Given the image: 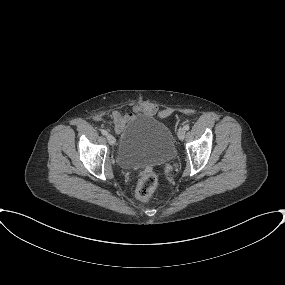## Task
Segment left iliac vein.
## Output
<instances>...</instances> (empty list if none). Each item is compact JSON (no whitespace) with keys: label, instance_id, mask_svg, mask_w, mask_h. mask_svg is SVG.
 Masks as SVG:
<instances>
[{"label":"left iliac vein","instance_id":"1","mask_svg":"<svg viewBox=\"0 0 285 285\" xmlns=\"http://www.w3.org/2000/svg\"><path fill=\"white\" fill-rule=\"evenodd\" d=\"M185 133H186L185 129H184V128H180V129L178 130V138H179L180 140H183L184 137H185Z\"/></svg>","mask_w":285,"mask_h":285}]
</instances>
